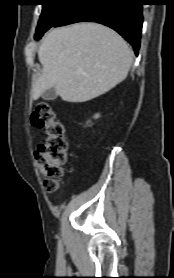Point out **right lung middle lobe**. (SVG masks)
<instances>
[{"label":"right lung middle lobe","mask_w":174,"mask_h":278,"mask_svg":"<svg viewBox=\"0 0 174 278\" xmlns=\"http://www.w3.org/2000/svg\"><path fill=\"white\" fill-rule=\"evenodd\" d=\"M74 0H40L43 10L35 38L52 27Z\"/></svg>","instance_id":"obj_1"}]
</instances>
